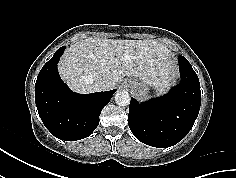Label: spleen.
Masks as SVG:
<instances>
[{
	"instance_id": "obj_1",
	"label": "spleen",
	"mask_w": 236,
	"mask_h": 178,
	"mask_svg": "<svg viewBox=\"0 0 236 178\" xmlns=\"http://www.w3.org/2000/svg\"><path fill=\"white\" fill-rule=\"evenodd\" d=\"M166 89H167V87L165 85H161V86L157 87L156 93L157 94H162L166 91Z\"/></svg>"
}]
</instances>
